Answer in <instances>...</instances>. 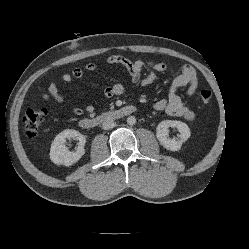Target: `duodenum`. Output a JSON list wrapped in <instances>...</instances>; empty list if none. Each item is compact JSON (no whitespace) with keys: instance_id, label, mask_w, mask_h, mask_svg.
I'll use <instances>...</instances> for the list:
<instances>
[{"instance_id":"1","label":"duodenum","mask_w":249,"mask_h":249,"mask_svg":"<svg viewBox=\"0 0 249 249\" xmlns=\"http://www.w3.org/2000/svg\"><path fill=\"white\" fill-rule=\"evenodd\" d=\"M137 111L134 105H128L116 110L102 112L94 117H85L79 121L80 128L84 130L94 129L101 125L103 122L110 120L123 119Z\"/></svg>"}]
</instances>
